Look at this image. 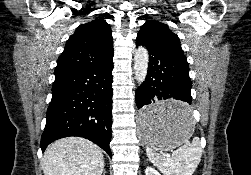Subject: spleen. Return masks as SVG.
Segmentation results:
<instances>
[{
  "label": "spleen",
  "mask_w": 251,
  "mask_h": 175,
  "mask_svg": "<svg viewBox=\"0 0 251 175\" xmlns=\"http://www.w3.org/2000/svg\"><path fill=\"white\" fill-rule=\"evenodd\" d=\"M195 123L191 117L190 109L183 107L182 115L180 117V125L183 133L193 131ZM150 133H157L158 123L157 119H153V123L149 125ZM201 141L199 137H193V141H184V145H181L179 149H176L173 153V157H165L160 153H155L151 145H147L146 153L158 169H161L163 175H192L194 169H196L202 155Z\"/></svg>",
  "instance_id": "obj_1"
}]
</instances>
